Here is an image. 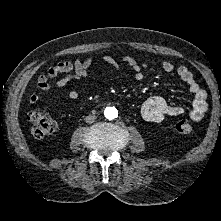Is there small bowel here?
<instances>
[{
	"instance_id": "small-bowel-1",
	"label": "small bowel",
	"mask_w": 221,
	"mask_h": 221,
	"mask_svg": "<svg viewBox=\"0 0 221 221\" xmlns=\"http://www.w3.org/2000/svg\"><path fill=\"white\" fill-rule=\"evenodd\" d=\"M103 60L113 66L118 68V63L116 60L110 56L105 55ZM123 60L131 67L134 71L135 78L141 80L144 78L143 70L147 68V64L139 63L137 60L130 56H125ZM93 62L92 57H87L84 60H76L74 62L64 61L59 62L51 70L55 74L64 73V75L56 82L58 89H63L70 81L84 79L88 77V69ZM161 68L167 72L171 73L176 71L179 78L186 83L189 92L192 94V104L190 110V117L194 121H199L203 118L207 110L206 102V92L200 85L196 82L192 72L186 66H179L175 68L173 62L169 60H164L161 62ZM49 84L47 81L42 79V76L38 77L36 81V90L29 97L31 103H35L39 100L40 94L49 89ZM81 96L80 92L77 90H72L69 93V98L71 100H77ZM185 110L182 107L173 106L169 104L163 97L152 96L148 98L141 108L142 116L151 122H160L168 116L176 117L184 114Z\"/></svg>"
}]
</instances>
